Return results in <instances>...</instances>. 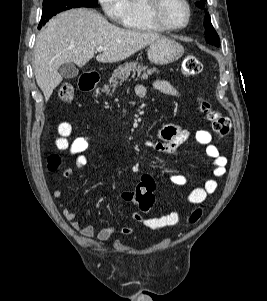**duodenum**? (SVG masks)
Returning a JSON list of instances; mask_svg holds the SVG:
<instances>
[{
    "label": "duodenum",
    "mask_w": 267,
    "mask_h": 301,
    "mask_svg": "<svg viewBox=\"0 0 267 301\" xmlns=\"http://www.w3.org/2000/svg\"><path fill=\"white\" fill-rule=\"evenodd\" d=\"M99 82L98 75L85 74L80 79V88L84 91H92Z\"/></svg>",
    "instance_id": "obj_1"
}]
</instances>
